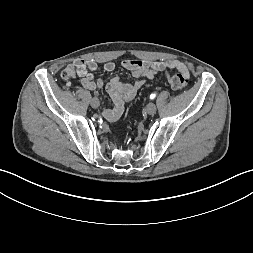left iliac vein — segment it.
Here are the masks:
<instances>
[{
	"label": "left iliac vein",
	"instance_id": "obj_1",
	"mask_svg": "<svg viewBox=\"0 0 253 253\" xmlns=\"http://www.w3.org/2000/svg\"><path fill=\"white\" fill-rule=\"evenodd\" d=\"M156 105L154 103H149L147 106H146V112L149 114V115H154L156 113Z\"/></svg>",
	"mask_w": 253,
	"mask_h": 253
}]
</instances>
